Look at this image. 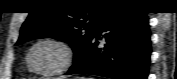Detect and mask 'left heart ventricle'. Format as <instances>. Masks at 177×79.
<instances>
[{
	"mask_svg": "<svg viewBox=\"0 0 177 79\" xmlns=\"http://www.w3.org/2000/svg\"><path fill=\"white\" fill-rule=\"evenodd\" d=\"M61 59V50L53 44L39 45L31 55L33 66L41 71L54 69L59 65Z\"/></svg>",
	"mask_w": 177,
	"mask_h": 79,
	"instance_id": "b2bd125f",
	"label": "left heart ventricle"
}]
</instances>
